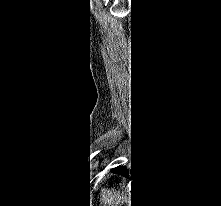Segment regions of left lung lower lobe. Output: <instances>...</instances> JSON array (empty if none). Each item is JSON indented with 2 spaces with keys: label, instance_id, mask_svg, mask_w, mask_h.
<instances>
[{
  "label": "left lung lower lobe",
  "instance_id": "0a47b994",
  "mask_svg": "<svg viewBox=\"0 0 221 206\" xmlns=\"http://www.w3.org/2000/svg\"><path fill=\"white\" fill-rule=\"evenodd\" d=\"M101 161H99V163L97 164L99 167H101ZM113 173H117V174H121L125 177L130 178V176L134 178L135 176V171L134 169H130V165H128L127 163L121 164L115 168L112 169Z\"/></svg>",
  "mask_w": 221,
  "mask_h": 206
}]
</instances>
